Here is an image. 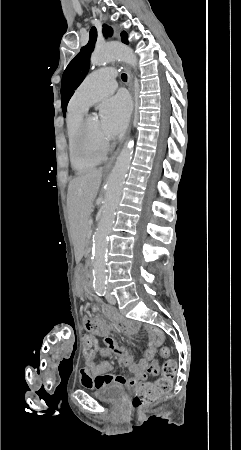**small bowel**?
<instances>
[{
    "label": "small bowel",
    "mask_w": 241,
    "mask_h": 450,
    "mask_svg": "<svg viewBox=\"0 0 241 450\" xmlns=\"http://www.w3.org/2000/svg\"><path fill=\"white\" fill-rule=\"evenodd\" d=\"M81 316L82 318H91V309H82ZM117 326L119 330L127 336H133L140 330H143L148 335L149 342L143 350L141 359L138 363H135L129 351L125 347L118 345L115 339L109 335V326L107 322L103 320H87L85 322V327L89 333L92 335L95 333L103 336L105 347L102 349L99 348L100 354L103 357H107L113 352L118 356L120 363L127 367L132 375L126 377L120 374L111 373V364L107 361L96 364L95 356L94 361H85V367L81 370V383L85 388L108 389L112 386L137 387L151 375L148 368L155 356L156 349L161 346L164 341V332L151 324H145L131 319L124 320L117 324ZM95 342H97L96 339Z\"/></svg>",
    "instance_id": "obj_1"
}]
</instances>
